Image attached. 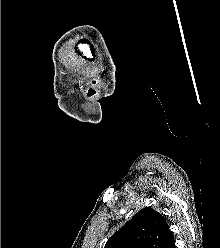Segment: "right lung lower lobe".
<instances>
[{
    "label": "right lung lower lobe",
    "instance_id": "1",
    "mask_svg": "<svg viewBox=\"0 0 220 248\" xmlns=\"http://www.w3.org/2000/svg\"><path fill=\"white\" fill-rule=\"evenodd\" d=\"M174 238L172 239V241L170 243H168L164 248H176L175 244H174Z\"/></svg>",
    "mask_w": 220,
    "mask_h": 248
}]
</instances>
